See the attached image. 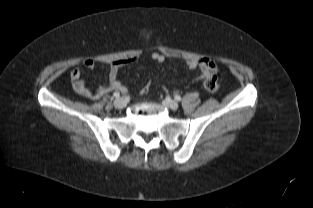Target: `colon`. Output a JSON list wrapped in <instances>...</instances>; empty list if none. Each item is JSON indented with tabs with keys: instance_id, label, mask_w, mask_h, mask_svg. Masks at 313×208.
I'll list each match as a JSON object with an SVG mask.
<instances>
[{
	"instance_id": "1",
	"label": "colon",
	"mask_w": 313,
	"mask_h": 208,
	"mask_svg": "<svg viewBox=\"0 0 313 208\" xmlns=\"http://www.w3.org/2000/svg\"><path fill=\"white\" fill-rule=\"evenodd\" d=\"M203 84H204V87H205V89L207 91H209V92H217L219 90V88H220L217 72H212L211 74L206 76L204 78ZM148 90H149V84H146L143 87L142 92L143 93H147Z\"/></svg>"
}]
</instances>
